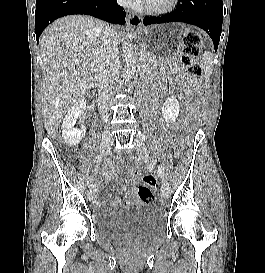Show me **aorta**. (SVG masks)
I'll list each match as a JSON object with an SVG mask.
<instances>
[{"label":"aorta","instance_id":"762f6f07","mask_svg":"<svg viewBox=\"0 0 265 273\" xmlns=\"http://www.w3.org/2000/svg\"><path fill=\"white\" fill-rule=\"evenodd\" d=\"M124 57L125 63L122 71V82H128L132 79L136 69V58L134 55L131 42L126 41L124 43Z\"/></svg>","mask_w":265,"mask_h":273}]
</instances>
